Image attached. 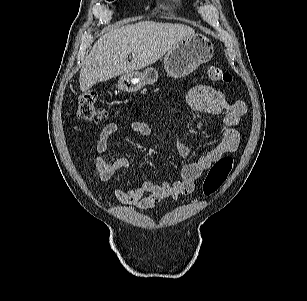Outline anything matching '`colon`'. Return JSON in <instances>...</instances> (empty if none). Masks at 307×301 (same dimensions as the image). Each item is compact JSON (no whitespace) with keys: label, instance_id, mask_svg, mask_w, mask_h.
Listing matches in <instances>:
<instances>
[{"label":"colon","instance_id":"colon-1","mask_svg":"<svg viewBox=\"0 0 307 301\" xmlns=\"http://www.w3.org/2000/svg\"><path fill=\"white\" fill-rule=\"evenodd\" d=\"M210 79L219 84H228L231 82V75L219 66H210ZM97 93L87 91L78 98V114L80 118L87 122H100L106 118V112L99 107ZM233 167V158L222 156L210 167L203 182V192L206 196L215 194L228 178Z\"/></svg>","mask_w":307,"mask_h":301}]
</instances>
